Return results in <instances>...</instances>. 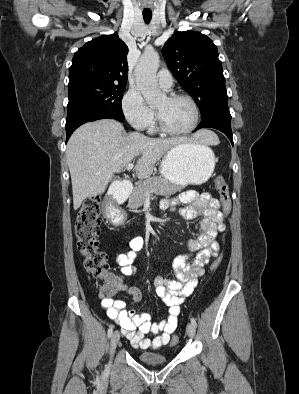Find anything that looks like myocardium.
<instances>
[{
    "instance_id": "1",
    "label": "myocardium",
    "mask_w": 299,
    "mask_h": 394,
    "mask_svg": "<svg viewBox=\"0 0 299 394\" xmlns=\"http://www.w3.org/2000/svg\"><path fill=\"white\" fill-rule=\"evenodd\" d=\"M166 98L169 100L183 99V100L188 101L191 104L193 111H194V121H193V124L187 129L175 130V129L170 128L166 124L163 117L161 116L159 111L156 109V119H157V123H158L160 130L167 133V134H170V135H185V134H189L193 130H195L196 127L198 126L199 120H200V111H199V107H198L196 101L189 95L179 94V93L167 94Z\"/></svg>"
}]
</instances>
